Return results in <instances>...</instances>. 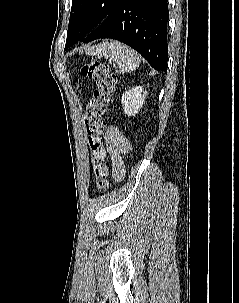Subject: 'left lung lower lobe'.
I'll use <instances>...</instances> for the list:
<instances>
[{
    "instance_id": "0a47b994",
    "label": "left lung lower lobe",
    "mask_w": 239,
    "mask_h": 303,
    "mask_svg": "<svg viewBox=\"0 0 239 303\" xmlns=\"http://www.w3.org/2000/svg\"><path fill=\"white\" fill-rule=\"evenodd\" d=\"M167 0H119L104 21L82 41L112 38L138 51L156 69L167 72Z\"/></svg>"
}]
</instances>
